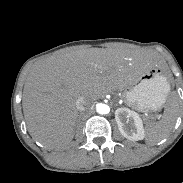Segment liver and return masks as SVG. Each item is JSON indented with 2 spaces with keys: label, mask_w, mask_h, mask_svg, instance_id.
<instances>
[{
  "label": "liver",
  "mask_w": 183,
  "mask_h": 183,
  "mask_svg": "<svg viewBox=\"0 0 183 183\" xmlns=\"http://www.w3.org/2000/svg\"><path fill=\"white\" fill-rule=\"evenodd\" d=\"M153 65L140 51L116 48L71 50L36 62L22 98L30 135L48 149L67 146L74 137L78 98H85L88 106L106 93L123 91Z\"/></svg>",
  "instance_id": "6515ba94"
}]
</instances>
